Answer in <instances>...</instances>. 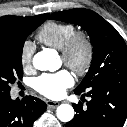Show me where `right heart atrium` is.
<instances>
[{"label":"right heart atrium","instance_id":"d8ad5b80","mask_svg":"<svg viewBox=\"0 0 127 127\" xmlns=\"http://www.w3.org/2000/svg\"><path fill=\"white\" fill-rule=\"evenodd\" d=\"M35 53V45L27 40L21 47L20 59L24 68H31L33 65V57Z\"/></svg>","mask_w":127,"mask_h":127}]
</instances>
